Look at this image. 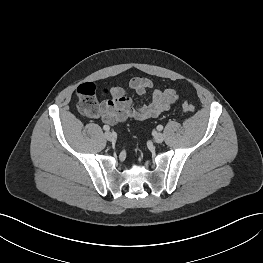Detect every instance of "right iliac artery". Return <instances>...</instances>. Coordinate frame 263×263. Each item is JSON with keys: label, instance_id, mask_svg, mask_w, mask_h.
<instances>
[{"label": "right iliac artery", "instance_id": "82829eb1", "mask_svg": "<svg viewBox=\"0 0 263 263\" xmlns=\"http://www.w3.org/2000/svg\"><path fill=\"white\" fill-rule=\"evenodd\" d=\"M103 129H104L105 131H109V130H110V127H109L108 125H104V126H103Z\"/></svg>", "mask_w": 263, "mask_h": 263}]
</instances>
